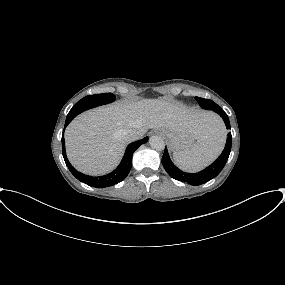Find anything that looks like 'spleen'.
Here are the masks:
<instances>
[{
  "label": "spleen",
  "mask_w": 285,
  "mask_h": 285,
  "mask_svg": "<svg viewBox=\"0 0 285 285\" xmlns=\"http://www.w3.org/2000/svg\"><path fill=\"white\" fill-rule=\"evenodd\" d=\"M226 131L222 125L205 140L197 141L190 149L173 153L175 163L184 171L196 172L214 161L224 147Z\"/></svg>",
  "instance_id": "spleen-1"
}]
</instances>
